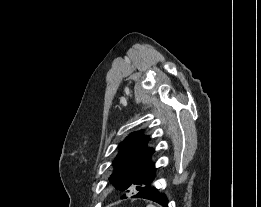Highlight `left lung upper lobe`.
Masks as SVG:
<instances>
[{"mask_svg": "<svg viewBox=\"0 0 261 207\" xmlns=\"http://www.w3.org/2000/svg\"><path fill=\"white\" fill-rule=\"evenodd\" d=\"M149 137L143 131L131 133L120 144V151L114 160V172L109 181L120 191L127 190L132 185L146 184L155 177V166L151 161L154 153L147 147Z\"/></svg>", "mask_w": 261, "mask_h": 207, "instance_id": "obj_1", "label": "left lung upper lobe"}]
</instances>
